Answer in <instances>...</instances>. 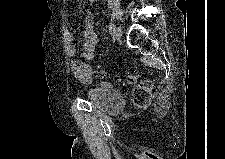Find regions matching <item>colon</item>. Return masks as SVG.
I'll return each mask as SVG.
<instances>
[{
  "instance_id": "obj_1",
  "label": "colon",
  "mask_w": 225,
  "mask_h": 159,
  "mask_svg": "<svg viewBox=\"0 0 225 159\" xmlns=\"http://www.w3.org/2000/svg\"><path fill=\"white\" fill-rule=\"evenodd\" d=\"M97 74L102 78L108 74L105 71H97ZM138 80L137 72L128 73L122 80L125 85H133ZM154 87V81L152 79H146L138 83L132 91V102L136 107H147L151 100L152 90Z\"/></svg>"
}]
</instances>
